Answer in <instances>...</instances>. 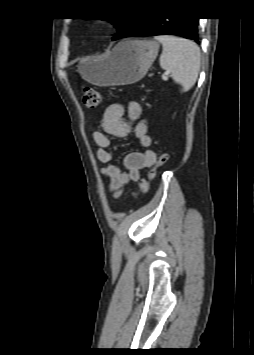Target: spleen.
<instances>
[{"label":"spleen","mask_w":254,"mask_h":355,"mask_svg":"<svg viewBox=\"0 0 254 355\" xmlns=\"http://www.w3.org/2000/svg\"><path fill=\"white\" fill-rule=\"evenodd\" d=\"M163 46L160 66L171 73L182 91H189L198 78L200 70V49L193 41L175 36H155Z\"/></svg>","instance_id":"obj_1"}]
</instances>
